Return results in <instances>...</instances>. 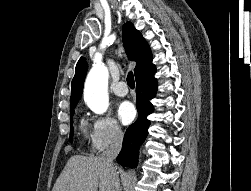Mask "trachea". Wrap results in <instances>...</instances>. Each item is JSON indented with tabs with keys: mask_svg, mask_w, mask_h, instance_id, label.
Wrapping results in <instances>:
<instances>
[{
	"mask_svg": "<svg viewBox=\"0 0 251 191\" xmlns=\"http://www.w3.org/2000/svg\"><path fill=\"white\" fill-rule=\"evenodd\" d=\"M127 84L130 88H134L135 87V80H134V76L132 72L128 73V76L126 78Z\"/></svg>",
	"mask_w": 251,
	"mask_h": 191,
	"instance_id": "trachea-1",
	"label": "trachea"
}]
</instances>
